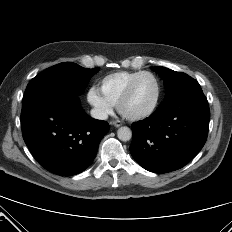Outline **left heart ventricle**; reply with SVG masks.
<instances>
[{
	"label": "left heart ventricle",
	"instance_id": "1",
	"mask_svg": "<svg viewBox=\"0 0 232 232\" xmlns=\"http://www.w3.org/2000/svg\"><path fill=\"white\" fill-rule=\"evenodd\" d=\"M157 93V86L150 76H142L133 89L129 100L124 104L123 111L126 114H138L151 107Z\"/></svg>",
	"mask_w": 232,
	"mask_h": 232
}]
</instances>
